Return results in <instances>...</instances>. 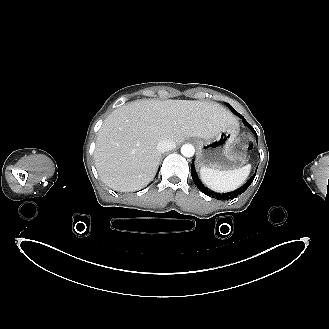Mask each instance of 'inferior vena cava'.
I'll return each instance as SVG.
<instances>
[{"label":"inferior vena cava","mask_w":329,"mask_h":329,"mask_svg":"<svg viewBox=\"0 0 329 329\" xmlns=\"http://www.w3.org/2000/svg\"><path fill=\"white\" fill-rule=\"evenodd\" d=\"M176 144L173 140L171 139H163L161 141L158 142L157 144V150L160 153H164L166 151L172 150L173 148H175Z\"/></svg>","instance_id":"inferior-vena-cava-1"}]
</instances>
